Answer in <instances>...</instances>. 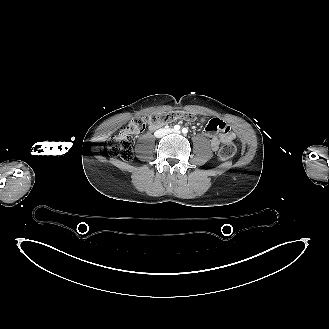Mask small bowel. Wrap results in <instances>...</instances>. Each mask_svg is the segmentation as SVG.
<instances>
[{
  "instance_id": "c3829d8e",
  "label": "small bowel",
  "mask_w": 329,
  "mask_h": 329,
  "mask_svg": "<svg viewBox=\"0 0 329 329\" xmlns=\"http://www.w3.org/2000/svg\"><path fill=\"white\" fill-rule=\"evenodd\" d=\"M219 121V122H218ZM155 127H151L154 129ZM204 135L210 139L211 146L216 150L222 141L232 140L235 137L234 132L228 125L220 119L212 118L204 129Z\"/></svg>"
}]
</instances>
